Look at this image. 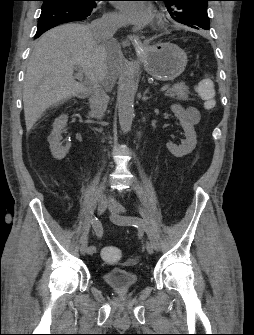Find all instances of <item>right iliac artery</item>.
<instances>
[{"label":"right iliac artery","instance_id":"obj_1","mask_svg":"<svg viewBox=\"0 0 254 335\" xmlns=\"http://www.w3.org/2000/svg\"><path fill=\"white\" fill-rule=\"evenodd\" d=\"M90 223L97 237L101 238L103 235V227L101 222L96 217H92ZM87 252L89 255H94L96 253V247L94 245L89 246Z\"/></svg>","mask_w":254,"mask_h":335}]
</instances>
